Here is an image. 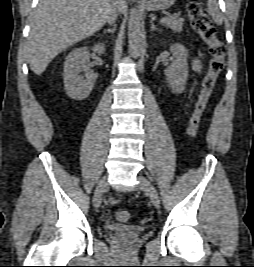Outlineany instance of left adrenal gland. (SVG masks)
Returning a JSON list of instances; mask_svg holds the SVG:
<instances>
[{"mask_svg": "<svg viewBox=\"0 0 254 267\" xmlns=\"http://www.w3.org/2000/svg\"><path fill=\"white\" fill-rule=\"evenodd\" d=\"M150 24H151V29H150L151 32H153V31H160V29L155 26L153 20H150Z\"/></svg>", "mask_w": 254, "mask_h": 267, "instance_id": "obj_1", "label": "left adrenal gland"}]
</instances>
